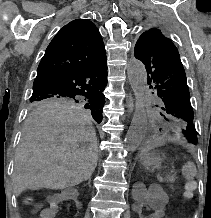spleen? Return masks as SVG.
Returning a JSON list of instances; mask_svg holds the SVG:
<instances>
[{
	"label": "spleen",
	"instance_id": "spleen-1",
	"mask_svg": "<svg viewBox=\"0 0 211 218\" xmlns=\"http://www.w3.org/2000/svg\"><path fill=\"white\" fill-rule=\"evenodd\" d=\"M143 160L146 156L145 152H143V154H141ZM182 174L183 176H185L186 180H192V178H194L195 174H196V168L194 166V164H192V162H188V164H185V166H183L182 168Z\"/></svg>",
	"mask_w": 211,
	"mask_h": 218
}]
</instances>
